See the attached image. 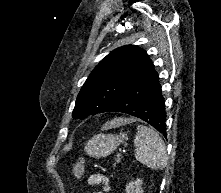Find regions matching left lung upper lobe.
Instances as JSON below:
<instances>
[{
  "mask_svg": "<svg viewBox=\"0 0 221 193\" xmlns=\"http://www.w3.org/2000/svg\"><path fill=\"white\" fill-rule=\"evenodd\" d=\"M154 67L146 51L126 45L113 50L91 72L77 97L73 118L105 112L139 76Z\"/></svg>",
  "mask_w": 221,
  "mask_h": 193,
  "instance_id": "obj_1",
  "label": "left lung upper lobe"
}]
</instances>
